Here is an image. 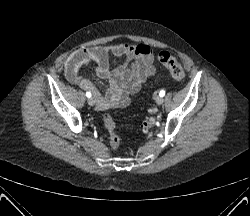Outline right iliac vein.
Masks as SVG:
<instances>
[{
  "instance_id": "obj_1",
  "label": "right iliac vein",
  "mask_w": 250,
  "mask_h": 216,
  "mask_svg": "<svg viewBox=\"0 0 250 216\" xmlns=\"http://www.w3.org/2000/svg\"><path fill=\"white\" fill-rule=\"evenodd\" d=\"M95 103H96V100H95L94 97H90V98L88 99V104H89L90 106H94Z\"/></svg>"
}]
</instances>
